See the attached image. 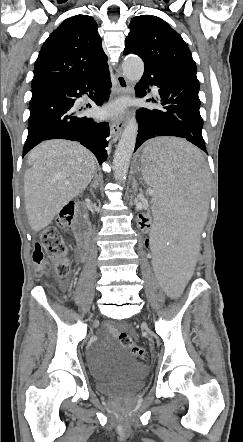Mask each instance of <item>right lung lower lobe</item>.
Returning a JSON list of instances; mask_svg holds the SVG:
<instances>
[{
    "label": "right lung lower lobe",
    "instance_id": "98d812e1",
    "mask_svg": "<svg viewBox=\"0 0 243 442\" xmlns=\"http://www.w3.org/2000/svg\"><path fill=\"white\" fill-rule=\"evenodd\" d=\"M31 87L28 136L23 156L43 140L60 138L80 142L102 164L107 157L105 147L109 125L77 115L76 100L87 91L93 94V90L95 94L91 99L98 106L108 99L111 81L107 67L84 77L44 80L31 84Z\"/></svg>",
    "mask_w": 243,
    "mask_h": 442
}]
</instances>
